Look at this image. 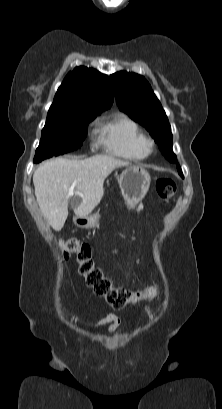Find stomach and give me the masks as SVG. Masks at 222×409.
Returning a JSON list of instances; mask_svg holds the SVG:
<instances>
[{
	"label": "stomach",
	"instance_id": "1",
	"mask_svg": "<svg viewBox=\"0 0 222 409\" xmlns=\"http://www.w3.org/2000/svg\"><path fill=\"white\" fill-rule=\"evenodd\" d=\"M150 181L149 173L139 166H128L121 173L119 186L128 209H132L144 198L149 190ZM98 218L97 214H76L73 222L79 228H93L97 225Z\"/></svg>",
	"mask_w": 222,
	"mask_h": 409
}]
</instances>
